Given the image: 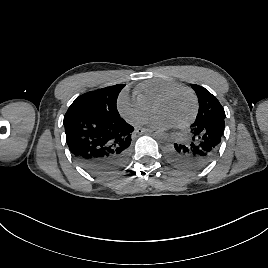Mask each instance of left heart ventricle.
I'll use <instances>...</instances> for the list:
<instances>
[{"instance_id": "obj_1", "label": "left heart ventricle", "mask_w": 268, "mask_h": 268, "mask_svg": "<svg viewBox=\"0 0 268 268\" xmlns=\"http://www.w3.org/2000/svg\"><path fill=\"white\" fill-rule=\"evenodd\" d=\"M193 102L186 92H179L160 104L156 114L169 120L173 125L185 121L192 113Z\"/></svg>"}]
</instances>
